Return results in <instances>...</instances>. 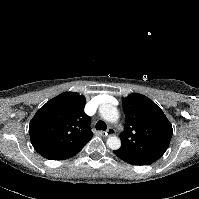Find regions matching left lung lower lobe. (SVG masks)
I'll list each match as a JSON object with an SVG mask.
<instances>
[{
	"label": "left lung lower lobe",
	"mask_w": 199,
	"mask_h": 199,
	"mask_svg": "<svg viewBox=\"0 0 199 199\" xmlns=\"http://www.w3.org/2000/svg\"><path fill=\"white\" fill-rule=\"evenodd\" d=\"M113 153L119 157L120 159H122L123 161L129 163V164H133V165H149L151 163H153L150 160H147L145 158L133 155L131 153L122 151V150H115L113 151Z\"/></svg>",
	"instance_id": "0a47b994"
}]
</instances>
